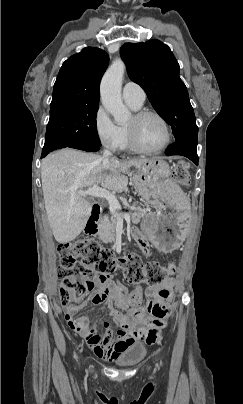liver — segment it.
I'll return each mask as SVG.
<instances>
[{"instance_id": "6515ba94", "label": "liver", "mask_w": 243, "mask_h": 404, "mask_svg": "<svg viewBox=\"0 0 243 404\" xmlns=\"http://www.w3.org/2000/svg\"><path fill=\"white\" fill-rule=\"evenodd\" d=\"M149 158H133L120 162L84 154L77 150H58L42 160L41 182L49 226L56 242L69 244L84 230L91 206L78 190L101 184L113 192H125L131 166L141 168ZM109 170V174H105Z\"/></svg>"}]
</instances>
